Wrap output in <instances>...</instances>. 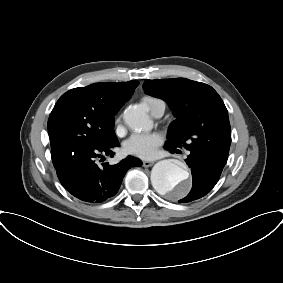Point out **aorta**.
Wrapping results in <instances>:
<instances>
[{"instance_id": "aorta-1", "label": "aorta", "mask_w": 283, "mask_h": 283, "mask_svg": "<svg viewBox=\"0 0 283 283\" xmlns=\"http://www.w3.org/2000/svg\"><path fill=\"white\" fill-rule=\"evenodd\" d=\"M123 119L128 127L136 131L149 130L152 127L150 118L140 107H128L124 111ZM151 182L159 194L171 195L174 198L185 196L190 188L188 171L170 159L154 165Z\"/></svg>"}]
</instances>
